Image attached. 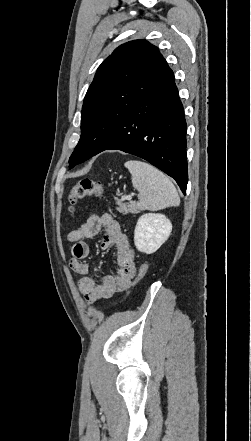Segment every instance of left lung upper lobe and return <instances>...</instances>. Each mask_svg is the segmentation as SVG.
<instances>
[{"instance_id":"5c2ea615","label":"left lung upper lobe","mask_w":251,"mask_h":441,"mask_svg":"<svg viewBox=\"0 0 251 441\" xmlns=\"http://www.w3.org/2000/svg\"><path fill=\"white\" fill-rule=\"evenodd\" d=\"M169 68L158 48L146 40L120 45L97 69L81 111V137L69 168L86 161V138L93 125L126 115Z\"/></svg>"}]
</instances>
